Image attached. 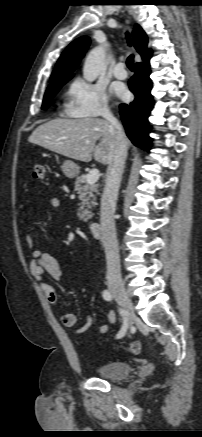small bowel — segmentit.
<instances>
[{
    "label": "small bowel",
    "instance_id": "c3829d8e",
    "mask_svg": "<svg viewBox=\"0 0 202 437\" xmlns=\"http://www.w3.org/2000/svg\"><path fill=\"white\" fill-rule=\"evenodd\" d=\"M49 205L52 208H58L60 206V200L56 197L49 199ZM26 243L31 250L32 260L29 264V271L31 276L39 282V285L46 297L51 303H56L58 300L55 289L44 281V274L48 273L55 282H59L62 279V270L59 261L52 255L43 252L35 247L34 240L31 235L26 236ZM109 323L116 321V314L114 311H110L107 315ZM62 324L66 327H73L76 324V315L72 312H64L60 315ZM93 324L92 317L87 315L84 324L75 329L76 334H82L86 332ZM98 331L101 334H105L108 331V325H100Z\"/></svg>",
    "mask_w": 202,
    "mask_h": 437
}]
</instances>
